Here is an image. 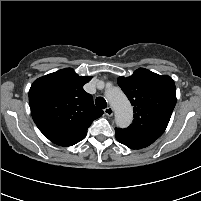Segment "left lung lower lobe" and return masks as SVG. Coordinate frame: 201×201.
<instances>
[{
  "instance_id": "1",
  "label": "left lung lower lobe",
  "mask_w": 201,
  "mask_h": 201,
  "mask_svg": "<svg viewBox=\"0 0 201 201\" xmlns=\"http://www.w3.org/2000/svg\"><path fill=\"white\" fill-rule=\"evenodd\" d=\"M116 139L128 146L130 149H141L152 144L156 139L142 136H134L123 133L121 130L115 128Z\"/></svg>"
}]
</instances>
